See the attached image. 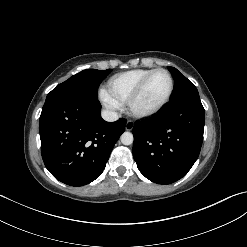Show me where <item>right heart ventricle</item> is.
Segmentation results:
<instances>
[{
    "label": "right heart ventricle",
    "instance_id": "e07e8e85",
    "mask_svg": "<svg viewBox=\"0 0 247 247\" xmlns=\"http://www.w3.org/2000/svg\"><path fill=\"white\" fill-rule=\"evenodd\" d=\"M151 71L152 69H135L114 75L107 82L108 93L119 103H127L138 84Z\"/></svg>",
    "mask_w": 247,
    "mask_h": 247
}]
</instances>
